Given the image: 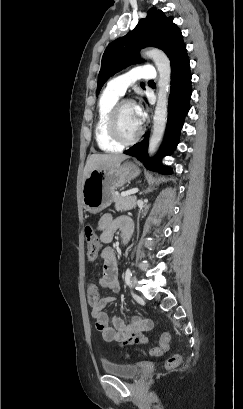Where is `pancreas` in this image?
<instances>
[{"label":"pancreas","mask_w":243,"mask_h":409,"mask_svg":"<svg viewBox=\"0 0 243 409\" xmlns=\"http://www.w3.org/2000/svg\"><path fill=\"white\" fill-rule=\"evenodd\" d=\"M113 201L115 202V209L117 211H128L136 207V196H122L115 193L113 196Z\"/></svg>","instance_id":"cf45deb5"}]
</instances>
